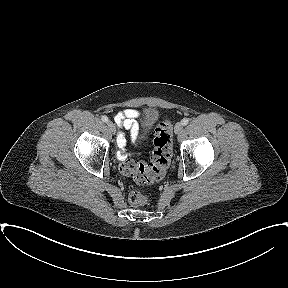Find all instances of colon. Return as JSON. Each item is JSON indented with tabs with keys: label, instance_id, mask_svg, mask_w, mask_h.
Returning a JSON list of instances; mask_svg holds the SVG:
<instances>
[{
	"label": "colon",
	"instance_id": "obj_1",
	"mask_svg": "<svg viewBox=\"0 0 288 288\" xmlns=\"http://www.w3.org/2000/svg\"><path fill=\"white\" fill-rule=\"evenodd\" d=\"M171 128L169 120L161 121L155 130L152 160L145 163L124 158L120 165L122 174L132 177L139 184H150L162 179L172 157ZM128 200L131 205L140 206L146 202V197L139 191H131Z\"/></svg>",
	"mask_w": 288,
	"mask_h": 288
}]
</instances>
